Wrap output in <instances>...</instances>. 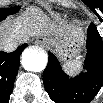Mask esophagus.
Here are the masks:
<instances>
[{
  "label": "esophagus",
  "mask_w": 103,
  "mask_h": 103,
  "mask_svg": "<svg viewBox=\"0 0 103 103\" xmlns=\"http://www.w3.org/2000/svg\"><path fill=\"white\" fill-rule=\"evenodd\" d=\"M36 43L39 45H44L46 43V39L43 37H40L37 39Z\"/></svg>",
  "instance_id": "34e87169"
}]
</instances>
